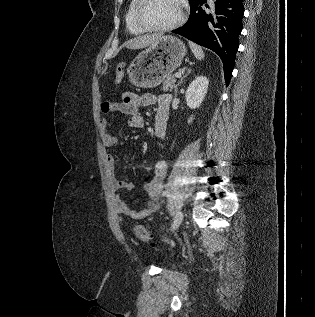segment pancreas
Masks as SVG:
<instances>
[{"label":"pancreas","mask_w":315,"mask_h":317,"mask_svg":"<svg viewBox=\"0 0 315 317\" xmlns=\"http://www.w3.org/2000/svg\"><path fill=\"white\" fill-rule=\"evenodd\" d=\"M175 83H176V79H175L174 75H170L163 82L162 89L164 91L172 90L173 88L176 87Z\"/></svg>","instance_id":"cf45deb5"}]
</instances>
